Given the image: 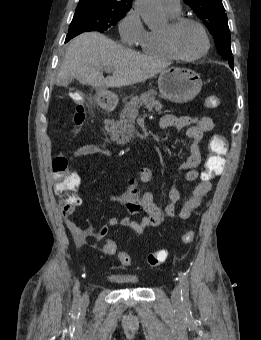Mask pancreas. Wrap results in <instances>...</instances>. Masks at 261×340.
Wrapping results in <instances>:
<instances>
[{
    "instance_id": "1",
    "label": "pancreas",
    "mask_w": 261,
    "mask_h": 340,
    "mask_svg": "<svg viewBox=\"0 0 261 340\" xmlns=\"http://www.w3.org/2000/svg\"><path fill=\"white\" fill-rule=\"evenodd\" d=\"M156 95V91L149 90L146 93H142L140 97H132L130 101L125 104L120 114V120L114 122L108 129L111 138L120 144L129 141L133 132L131 116L137 112L139 107L144 105L149 111L154 109L156 112H161L162 104L159 100H156Z\"/></svg>"
}]
</instances>
